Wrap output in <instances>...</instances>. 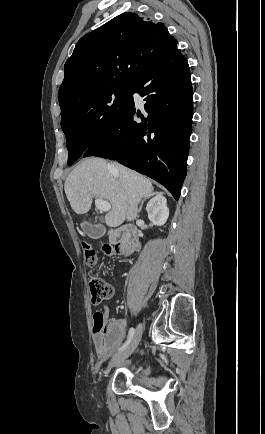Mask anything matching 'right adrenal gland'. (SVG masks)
Masks as SVG:
<instances>
[{
  "label": "right adrenal gland",
  "instance_id": "obj_1",
  "mask_svg": "<svg viewBox=\"0 0 265 434\" xmlns=\"http://www.w3.org/2000/svg\"><path fill=\"white\" fill-rule=\"evenodd\" d=\"M155 194H157V192H153V194H150V196H145V198H143V200L141 202V206L139 208V214H141L142 206H143L145 200H148V198H151V196H155Z\"/></svg>",
  "mask_w": 265,
  "mask_h": 434
}]
</instances>
